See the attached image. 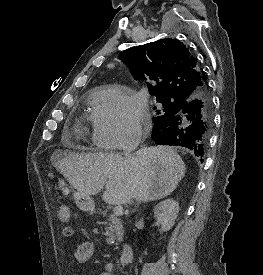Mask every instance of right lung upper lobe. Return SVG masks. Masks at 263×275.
Listing matches in <instances>:
<instances>
[{"instance_id": "obj_1", "label": "right lung upper lobe", "mask_w": 263, "mask_h": 275, "mask_svg": "<svg viewBox=\"0 0 263 275\" xmlns=\"http://www.w3.org/2000/svg\"><path fill=\"white\" fill-rule=\"evenodd\" d=\"M133 74L148 83L157 98L182 100L207 86L196 59L179 40L165 38L125 50L120 54Z\"/></svg>"}]
</instances>
